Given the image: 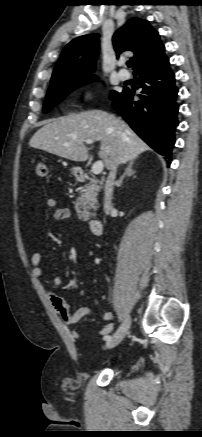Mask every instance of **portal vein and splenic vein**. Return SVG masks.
<instances>
[{
	"label": "portal vein and splenic vein",
	"instance_id": "18ae733b",
	"mask_svg": "<svg viewBox=\"0 0 202 437\" xmlns=\"http://www.w3.org/2000/svg\"><path fill=\"white\" fill-rule=\"evenodd\" d=\"M85 142H86V144H92L93 143L92 140H86ZM103 168H104L103 162L102 161H97V162H95L93 164L91 171H92L93 174L98 175V174H100L103 171Z\"/></svg>",
	"mask_w": 202,
	"mask_h": 437
}]
</instances>
